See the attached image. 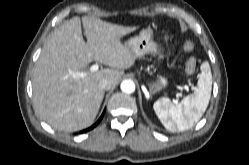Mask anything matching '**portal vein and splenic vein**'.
I'll return each mask as SVG.
<instances>
[{
	"label": "portal vein and splenic vein",
	"instance_id": "18ae733b",
	"mask_svg": "<svg viewBox=\"0 0 249 165\" xmlns=\"http://www.w3.org/2000/svg\"><path fill=\"white\" fill-rule=\"evenodd\" d=\"M98 69H99V65H98V64H94V65H92V66L90 67V71H91V72H95V71H97ZM72 76H73L74 78H84V77L86 76V73H85V72H75V73L72 74ZM175 102H177V100H176Z\"/></svg>",
	"mask_w": 249,
	"mask_h": 165
}]
</instances>
